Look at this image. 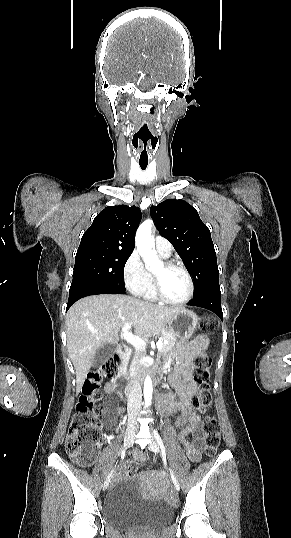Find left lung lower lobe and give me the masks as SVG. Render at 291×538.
I'll return each mask as SVG.
<instances>
[{"mask_svg":"<svg viewBox=\"0 0 291 538\" xmlns=\"http://www.w3.org/2000/svg\"><path fill=\"white\" fill-rule=\"evenodd\" d=\"M220 296V286L219 284H216L201 293L199 296L194 297L188 303V305L208 309L218 315L221 319H223Z\"/></svg>","mask_w":291,"mask_h":538,"instance_id":"1","label":"left lung lower lobe"}]
</instances>
